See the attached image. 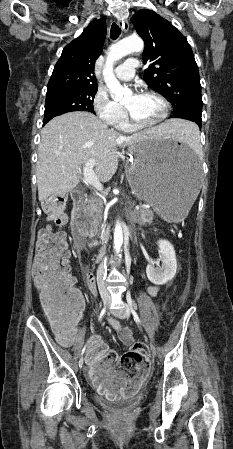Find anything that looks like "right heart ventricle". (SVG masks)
Instances as JSON below:
<instances>
[{"mask_svg": "<svg viewBox=\"0 0 233 449\" xmlns=\"http://www.w3.org/2000/svg\"><path fill=\"white\" fill-rule=\"evenodd\" d=\"M115 127L118 130H120L122 132H126V133H131V132H134L136 130V127H134L130 123L126 113L123 114L122 117L116 122Z\"/></svg>", "mask_w": 233, "mask_h": 449, "instance_id": "obj_1", "label": "right heart ventricle"}]
</instances>
